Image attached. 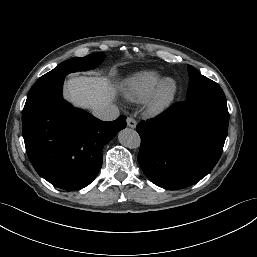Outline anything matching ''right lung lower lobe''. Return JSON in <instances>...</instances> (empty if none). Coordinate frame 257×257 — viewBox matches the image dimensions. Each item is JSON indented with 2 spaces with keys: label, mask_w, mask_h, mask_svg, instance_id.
Listing matches in <instances>:
<instances>
[{
  "label": "right lung lower lobe",
  "mask_w": 257,
  "mask_h": 257,
  "mask_svg": "<svg viewBox=\"0 0 257 257\" xmlns=\"http://www.w3.org/2000/svg\"><path fill=\"white\" fill-rule=\"evenodd\" d=\"M66 75L37 80L22 112V134L37 173L54 186L78 190L102 166V149L126 126V117L103 122L62 98Z\"/></svg>",
  "instance_id": "right-lung-lower-lobe-1"
}]
</instances>
